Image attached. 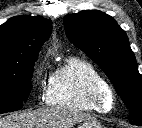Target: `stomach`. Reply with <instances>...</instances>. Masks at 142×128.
<instances>
[{
  "label": "stomach",
  "instance_id": "obj_1",
  "mask_svg": "<svg viewBox=\"0 0 142 128\" xmlns=\"http://www.w3.org/2000/svg\"><path fill=\"white\" fill-rule=\"evenodd\" d=\"M77 128H103V126L95 119L90 118L78 125Z\"/></svg>",
  "mask_w": 142,
  "mask_h": 128
}]
</instances>
